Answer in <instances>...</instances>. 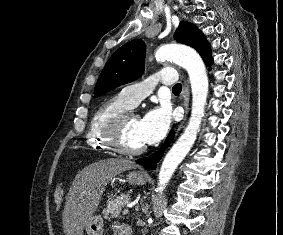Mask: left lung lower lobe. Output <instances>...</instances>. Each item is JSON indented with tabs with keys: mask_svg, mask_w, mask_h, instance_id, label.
I'll return each mask as SVG.
<instances>
[{
	"mask_svg": "<svg viewBox=\"0 0 283 235\" xmlns=\"http://www.w3.org/2000/svg\"><path fill=\"white\" fill-rule=\"evenodd\" d=\"M210 65H208V66H210ZM173 137H174V134H173V131H171L169 133L168 137L166 138L165 142L163 143V145L160 147V149L157 152L153 153L152 155H150L148 157H144V158L136 160V163L142 165L147 170L155 169L157 162H159V160L163 156L165 150L167 149L169 144L172 142Z\"/></svg>",
	"mask_w": 283,
	"mask_h": 235,
	"instance_id": "0a47b994",
	"label": "left lung lower lobe"
}]
</instances>
